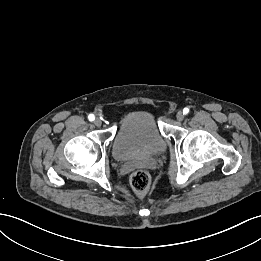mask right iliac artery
I'll use <instances>...</instances> for the list:
<instances>
[{
    "label": "right iliac artery",
    "mask_w": 261,
    "mask_h": 261,
    "mask_svg": "<svg viewBox=\"0 0 261 261\" xmlns=\"http://www.w3.org/2000/svg\"><path fill=\"white\" fill-rule=\"evenodd\" d=\"M88 119H89V121H94L95 120V116L93 115V114H90L89 116H88Z\"/></svg>",
    "instance_id": "obj_1"
}]
</instances>
